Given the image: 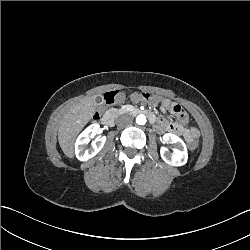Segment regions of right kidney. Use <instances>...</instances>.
<instances>
[{"mask_svg": "<svg viewBox=\"0 0 250 250\" xmlns=\"http://www.w3.org/2000/svg\"><path fill=\"white\" fill-rule=\"evenodd\" d=\"M100 132V125L97 123L88 126L77 138L75 143V155L80 161H87L94 157L104 146L106 136L97 137L91 144L90 148H86L90 138H93Z\"/></svg>", "mask_w": 250, "mask_h": 250, "instance_id": "ca27d5eb", "label": "right kidney"}]
</instances>
